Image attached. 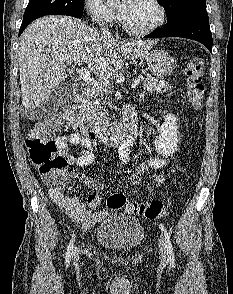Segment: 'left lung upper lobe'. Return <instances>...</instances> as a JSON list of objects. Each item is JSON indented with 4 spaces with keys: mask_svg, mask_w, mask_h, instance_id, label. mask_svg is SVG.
Listing matches in <instances>:
<instances>
[{
    "mask_svg": "<svg viewBox=\"0 0 233 294\" xmlns=\"http://www.w3.org/2000/svg\"><path fill=\"white\" fill-rule=\"evenodd\" d=\"M163 5L167 20L185 10H204L206 11V0H157Z\"/></svg>",
    "mask_w": 233,
    "mask_h": 294,
    "instance_id": "left-lung-upper-lobe-1",
    "label": "left lung upper lobe"
}]
</instances>
